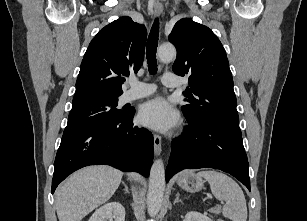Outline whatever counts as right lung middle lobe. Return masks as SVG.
<instances>
[{"label": "right lung middle lobe", "instance_id": "right-lung-middle-lobe-1", "mask_svg": "<svg viewBox=\"0 0 307 221\" xmlns=\"http://www.w3.org/2000/svg\"><path fill=\"white\" fill-rule=\"evenodd\" d=\"M117 102L111 98L72 104L64 134L122 116L126 111L118 110Z\"/></svg>", "mask_w": 307, "mask_h": 221}]
</instances>
